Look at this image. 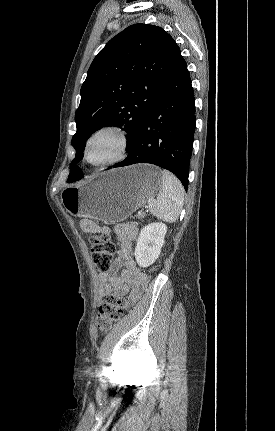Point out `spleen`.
<instances>
[{
	"label": "spleen",
	"mask_w": 275,
	"mask_h": 431,
	"mask_svg": "<svg viewBox=\"0 0 275 431\" xmlns=\"http://www.w3.org/2000/svg\"><path fill=\"white\" fill-rule=\"evenodd\" d=\"M162 185L157 199L149 204L150 212L168 223L175 222L184 202V188L178 178L167 170L161 172Z\"/></svg>",
	"instance_id": "spleen-1"
}]
</instances>
